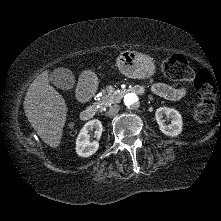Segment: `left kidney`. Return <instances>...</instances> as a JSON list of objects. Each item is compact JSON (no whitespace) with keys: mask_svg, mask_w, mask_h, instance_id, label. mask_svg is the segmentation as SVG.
<instances>
[{"mask_svg":"<svg viewBox=\"0 0 221 221\" xmlns=\"http://www.w3.org/2000/svg\"><path fill=\"white\" fill-rule=\"evenodd\" d=\"M164 115L172 118L171 124H164V120L162 119ZM155 118L163 134L171 137H177L181 134L183 121L181 114L177 110L169 107H160L155 112Z\"/></svg>","mask_w":221,"mask_h":221,"instance_id":"obj_1","label":"left kidney"}]
</instances>
